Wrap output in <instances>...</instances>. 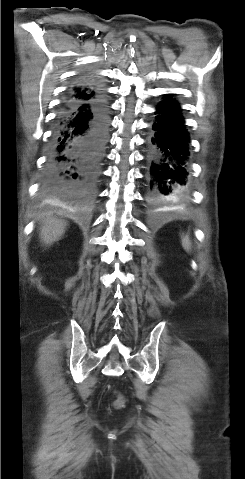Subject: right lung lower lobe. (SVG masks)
Returning <instances> with one entry per match:
<instances>
[{"instance_id":"obj_1","label":"right lung lower lobe","mask_w":245,"mask_h":479,"mask_svg":"<svg viewBox=\"0 0 245 479\" xmlns=\"http://www.w3.org/2000/svg\"><path fill=\"white\" fill-rule=\"evenodd\" d=\"M88 79L80 78L74 86ZM108 111L104 94L85 102L66 98L51 136L41 180L43 196L78 208L92 204L107 139Z\"/></svg>"}]
</instances>
